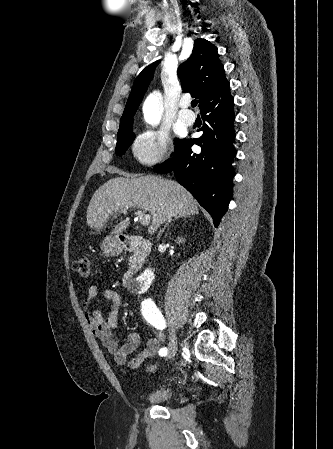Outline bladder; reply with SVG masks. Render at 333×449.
Wrapping results in <instances>:
<instances>
[{
  "label": "bladder",
  "mask_w": 333,
  "mask_h": 449,
  "mask_svg": "<svg viewBox=\"0 0 333 449\" xmlns=\"http://www.w3.org/2000/svg\"><path fill=\"white\" fill-rule=\"evenodd\" d=\"M175 395L174 388L161 386L143 395V400L150 404H163L170 401Z\"/></svg>",
  "instance_id": "bladder-1"
}]
</instances>
